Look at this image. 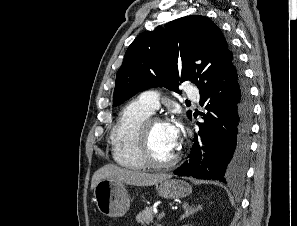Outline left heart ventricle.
<instances>
[{
	"instance_id": "b2bd125f",
	"label": "left heart ventricle",
	"mask_w": 297,
	"mask_h": 226,
	"mask_svg": "<svg viewBox=\"0 0 297 226\" xmlns=\"http://www.w3.org/2000/svg\"><path fill=\"white\" fill-rule=\"evenodd\" d=\"M150 147L153 155L161 161L171 158L177 151L173 145L167 123L153 125L150 133Z\"/></svg>"
}]
</instances>
